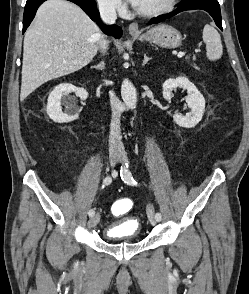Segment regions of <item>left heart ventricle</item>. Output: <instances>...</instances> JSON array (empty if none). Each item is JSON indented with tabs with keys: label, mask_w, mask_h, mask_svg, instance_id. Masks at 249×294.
I'll use <instances>...</instances> for the list:
<instances>
[{
	"label": "left heart ventricle",
	"mask_w": 249,
	"mask_h": 294,
	"mask_svg": "<svg viewBox=\"0 0 249 294\" xmlns=\"http://www.w3.org/2000/svg\"><path fill=\"white\" fill-rule=\"evenodd\" d=\"M170 0H137V7L142 10H155L166 6Z\"/></svg>",
	"instance_id": "left-heart-ventricle-1"
}]
</instances>
